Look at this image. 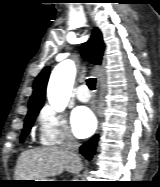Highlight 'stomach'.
<instances>
[{
	"label": "stomach",
	"instance_id": "0dacf381",
	"mask_svg": "<svg viewBox=\"0 0 160 187\" xmlns=\"http://www.w3.org/2000/svg\"><path fill=\"white\" fill-rule=\"evenodd\" d=\"M32 181H50V180L43 179V180H32ZM47 183L48 182H31L29 185L30 186H48Z\"/></svg>",
	"mask_w": 160,
	"mask_h": 187
}]
</instances>
